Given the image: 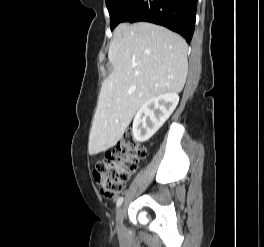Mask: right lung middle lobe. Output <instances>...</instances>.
Instances as JSON below:
<instances>
[{"label":"right lung middle lobe","mask_w":264,"mask_h":247,"mask_svg":"<svg viewBox=\"0 0 264 247\" xmlns=\"http://www.w3.org/2000/svg\"><path fill=\"white\" fill-rule=\"evenodd\" d=\"M131 0H106V6L110 14L111 31L118 25L119 16Z\"/></svg>","instance_id":"1"}]
</instances>
